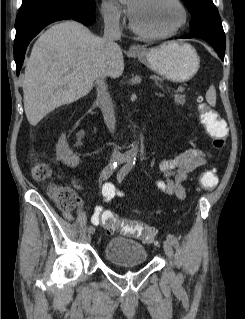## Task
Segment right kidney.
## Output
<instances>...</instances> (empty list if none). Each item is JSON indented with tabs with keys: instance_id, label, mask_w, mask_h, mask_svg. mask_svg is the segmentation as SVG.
I'll return each instance as SVG.
<instances>
[{
	"instance_id": "1",
	"label": "right kidney",
	"mask_w": 245,
	"mask_h": 319,
	"mask_svg": "<svg viewBox=\"0 0 245 319\" xmlns=\"http://www.w3.org/2000/svg\"><path fill=\"white\" fill-rule=\"evenodd\" d=\"M56 156L67 166L76 167L79 164V157L69 148L65 135H62L56 145Z\"/></svg>"
}]
</instances>
